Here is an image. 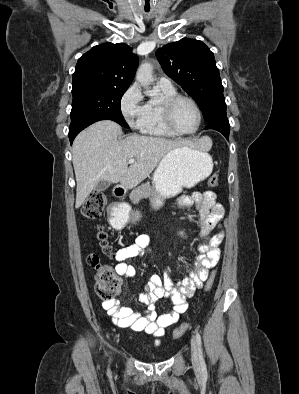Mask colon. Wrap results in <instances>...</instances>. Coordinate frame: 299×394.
I'll use <instances>...</instances> for the list:
<instances>
[{"mask_svg":"<svg viewBox=\"0 0 299 394\" xmlns=\"http://www.w3.org/2000/svg\"><path fill=\"white\" fill-rule=\"evenodd\" d=\"M209 184L213 187L219 185V176L214 173L209 178ZM107 203V197L104 192L95 191L93 192L87 200L84 202L81 208V214L84 219L94 220L98 218ZM97 239L99 242V247L104 255L111 256L112 249L107 241V234L102 229L99 228ZM87 263L95 270L96 286L95 290L97 295L105 301H113L119 294L121 287V280L116 275L111 266L103 264L100 262L99 256L97 254H90L87 257ZM216 273L212 271L205 282V291H209L215 281ZM188 328V323H182L173 333L175 339L180 338Z\"/></svg>","mask_w":299,"mask_h":394,"instance_id":"1","label":"colon"}]
</instances>
